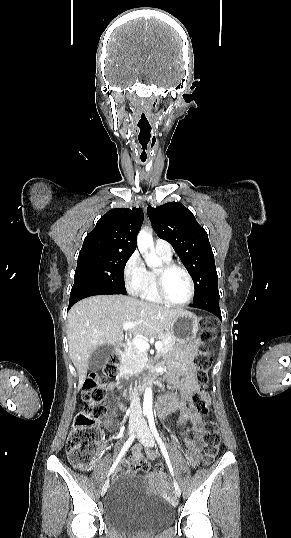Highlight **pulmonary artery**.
I'll return each mask as SVG.
<instances>
[{
  "label": "pulmonary artery",
  "mask_w": 291,
  "mask_h": 538,
  "mask_svg": "<svg viewBox=\"0 0 291 538\" xmlns=\"http://www.w3.org/2000/svg\"><path fill=\"white\" fill-rule=\"evenodd\" d=\"M154 248L156 252H159L167 257L172 256V247L171 245L162 239H157L154 243Z\"/></svg>",
  "instance_id": "1"
}]
</instances>
